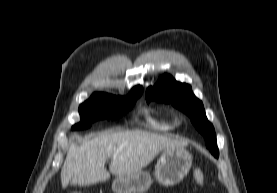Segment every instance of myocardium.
<instances>
[{
	"instance_id": "f54148a6",
	"label": "myocardium",
	"mask_w": 277,
	"mask_h": 193,
	"mask_svg": "<svg viewBox=\"0 0 277 193\" xmlns=\"http://www.w3.org/2000/svg\"><path fill=\"white\" fill-rule=\"evenodd\" d=\"M183 119H184L183 116L181 114H179V113L175 114V116H174V121L177 124L182 123Z\"/></svg>"
}]
</instances>
